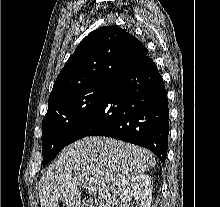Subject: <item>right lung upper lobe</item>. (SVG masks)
Instances as JSON below:
<instances>
[{
	"instance_id": "1",
	"label": "right lung upper lobe",
	"mask_w": 220,
	"mask_h": 207,
	"mask_svg": "<svg viewBox=\"0 0 220 207\" xmlns=\"http://www.w3.org/2000/svg\"><path fill=\"white\" fill-rule=\"evenodd\" d=\"M147 54L146 47L122 28H98L82 40L67 60L55 81L49 101L90 84L108 82Z\"/></svg>"
}]
</instances>
